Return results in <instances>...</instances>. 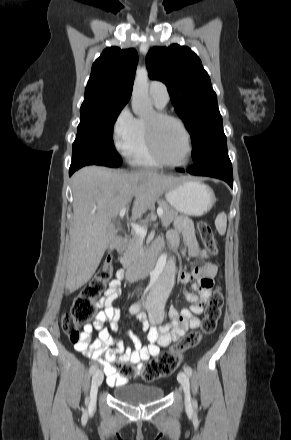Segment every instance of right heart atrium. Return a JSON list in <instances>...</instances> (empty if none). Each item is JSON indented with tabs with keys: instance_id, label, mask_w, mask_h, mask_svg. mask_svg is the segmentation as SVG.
Segmentation results:
<instances>
[{
	"instance_id": "right-heart-atrium-1",
	"label": "right heart atrium",
	"mask_w": 291,
	"mask_h": 440,
	"mask_svg": "<svg viewBox=\"0 0 291 440\" xmlns=\"http://www.w3.org/2000/svg\"><path fill=\"white\" fill-rule=\"evenodd\" d=\"M135 132L136 118L125 107L117 115L112 128L114 145L120 153H127L134 140Z\"/></svg>"
}]
</instances>
